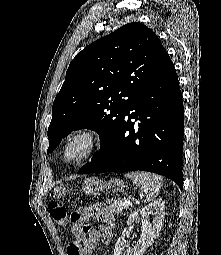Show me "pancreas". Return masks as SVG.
I'll list each match as a JSON object with an SVG mask.
<instances>
[{
  "label": "pancreas",
  "instance_id": "obj_1",
  "mask_svg": "<svg viewBox=\"0 0 221 255\" xmlns=\"http://www.w3.org/2000/svg\"><path fill=\"white\" fill-rule=\"evenodd\" d=\"M109 204V209L113 213H121L124 209L129 208V204L125 202L124 199H117V200H107Z\"/></svg>",
  "mask_w": 221,
  "mask_h": 255
}]
</instances>
